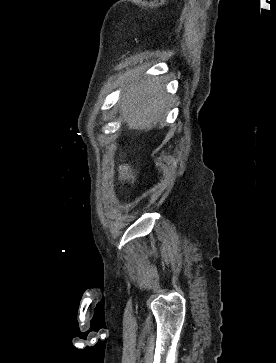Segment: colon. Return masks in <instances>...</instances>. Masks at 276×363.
<instances>
[{
    "label": "colon",
    "instance_id": "1",
    "mask_svg": "<svg viewBox=\"0 0 276 363\" xmlns=\"http://www.w3.org/2000/svg\"><path fill=\"white\" fill-rule=\"evenodd\" d=\"M121 178L123 180L132 181L133 173L128 167H123L120 172Z\"/></svg>",
    "mask_w": 276,
    "mask_h": 363
}]
</instances>
